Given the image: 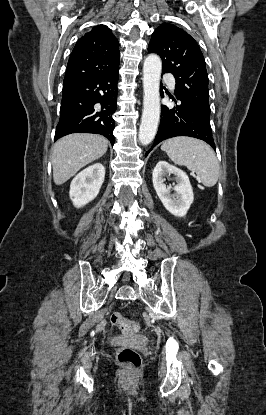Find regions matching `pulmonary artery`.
Here are the masks:
<instances>
[{"instance_id":"pulmonary-artery-1","label":"pulmonary artery","mask_w":266,"mask_h":415,"mask_svg":"<svg viewBox=\"0 0 266 415\" xmlns=\"http://www.w3.org/2000/svg\"><path fill=\"white\" fill-rule=\"evenodd\" d=\"M165 81L167 82V84L170 88L173 89L175 87V81L172 77L166 76Z\"/></svg>"}]
</instances>
